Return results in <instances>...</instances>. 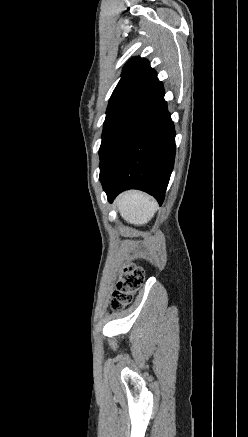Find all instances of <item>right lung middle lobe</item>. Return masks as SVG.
Instances as JSON below:
<instances>
[{
	"label": "right lung middle lobe",
	"mask_w": 248,
	"mask_h": 437,
	"mask_svg": "<svg viewBox=\"0 0 248 437\" xmlns=\"http://www.w3.org/2000/svg\"><path fill=\"white\" fill-rule=\"evenodd\" d=\"M139 96L138 93H131L115 100L109 101L106 119L104 122L102 143L99 149V155L101 156L105 148L110 143L112 137L120 128L123 123V119L134 104L135 100Z\"/></svg>",
	"instance_id": "right-lung-middle-lobe-1"
}]
</instances>
